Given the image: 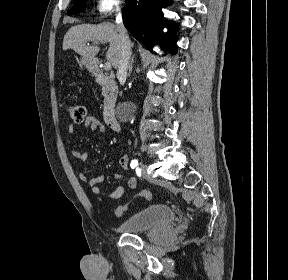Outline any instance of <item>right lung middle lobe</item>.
Instances as JSON below:
<instances>
[{
  "mask_svg": "<svg viewBox=\"0 0 288 280\" xmlns=\"http://www.w3.org/2000/svg\"><path fill=\"white\" fill-rule=\"evenodd\" d=\"M86 7V0H75L74 6L67 12L68 15L78 14L84 12Z\"/></svg>",
  "mask_w": 288,
  "mask_h": 280,
  "instance_id": "1",
  "label": "right lung middle lobe"
}]
</instances>
